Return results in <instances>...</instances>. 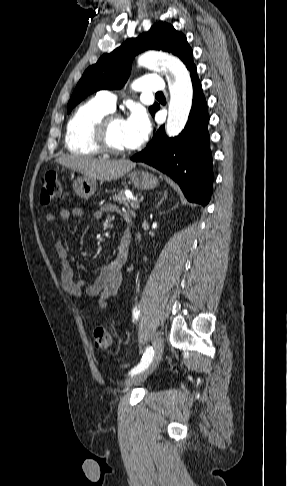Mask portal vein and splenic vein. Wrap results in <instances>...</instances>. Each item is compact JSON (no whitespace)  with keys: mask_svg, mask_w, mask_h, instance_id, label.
<instances>
[{"mask_svg":"<svg viewBox=\"0 0 287 486\" xmlns=\"http://www.w3.org/2000/svg\"><path fill=\"white\" fill-rule=\"evenodd\" d=\"M129 197H130V199H131V206H132L133 208H139V202L137 201V199H134V198H132L131 196H129Z\"/></svg>","mask_w":287,"mask_h":486,"instance_id":"portal-vein-and-splenic-vein-1","label":"portal vein and splenic vein"}]
</instances>
